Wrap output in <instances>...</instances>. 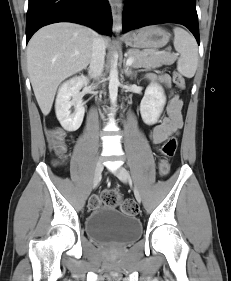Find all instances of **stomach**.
Returning a JSON list of instances; mask_svg holds the SVG:
<instances>
[{
    "label": "stomach",
    "mask_w": 231,
    "mask_h": 281,
    "mask_svg": "<svg viewBox=\"0 0 231 281\" xmlns=\"http://www.w3.org/2000/svg\"><path fill=\"white\" fill-rule=\"evenodd\" d=\"M169 33L158 26H147L127 33L124 42L133 48H161L169 42Z\"/></svg>",
    "instance_id": "1"
}]
</instances>
